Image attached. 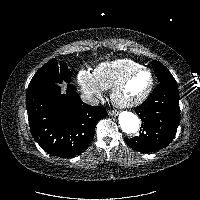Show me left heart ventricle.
I'll return each instance as SVG.
<instances>
[{
	"mask_svg": "<svg viewBox=\"0 0 200 200\" xmlns=\"http://www.w3.org/2000/svg\"><path fill=\"white\" fill-rule=\"evenodd\" d=\"M150 76L147 72H140L130 79L121 92V97L126 100H133L140 97L147 89Z\"/></svg>",
	"mask_w": 200,
	"mask_h": 200,
	"instance_id": "b2bd125f",
	"label": "left heart ventricle"
}]
</instances>
